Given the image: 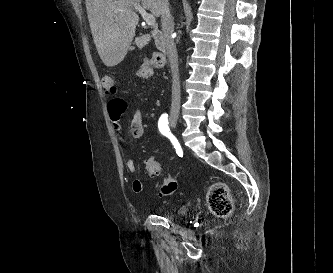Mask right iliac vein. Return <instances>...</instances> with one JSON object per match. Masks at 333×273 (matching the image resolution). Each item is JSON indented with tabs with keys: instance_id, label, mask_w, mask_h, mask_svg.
Listing matches in <instances>:
<instances>
[{
	"instance_id": "63e3f726",
	"label": "right iliac vein",
	"mask_w": 333,
	"mask_h": 273,
	"mask_svg": "<svg viewBox=\"0 0 333 273\" xmlns=\"http://www.w3.org/2000/svg\"><path fill=\"white\" fill-rule=\"evenodd\" d=\"M170 123L173 129L177 128L178 125V114L176 112H172L170 114Z\"/></svg>"
}]
</instances>
